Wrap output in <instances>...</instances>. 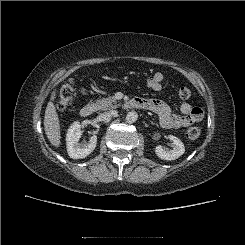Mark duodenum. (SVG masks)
I'll use <instances>...</instances> for the list:
<instances>
[{"instance_id": "1", "label": "duodenum", "mask_w": 245, "mask_h": 245, "mask_svg": "<svg viewBox=\"0 0 245 245\" xmlns=\"http://www.w3.org/2000/svg\"><path fill=\"white\" fill-rule=\"evenodd\" d=\"M144 106H146V104L142 100H131L124 104V108L126 109L142 108ZM94 111V105L86 104L81 108L80 114L82 117H90L94 113Z\"/></svg>"}]
</instances>
